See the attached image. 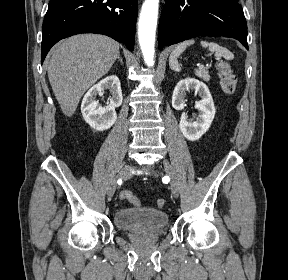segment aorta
Wrapping results in <instances>:
<instances>
[{
  "label": "aorta",
  "instance_id": "762f6f07",
  "mask_svg": "<svg viewBox=\"0 0 288 280\" xmlns=\"http://www.w3.org/2000/svg\"><path fill=\"white\" fill-rule=\"evenodd\" d=\"M159 0H145L138 23V37L144 61L147 66L154 65L155 33L157 26Z\"/></svg>",
  "mask_w": 288,
  "mask_h": 280
}]
</instances>
